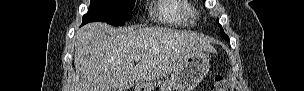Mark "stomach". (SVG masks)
<instances>
[{"mask_svg": "<svg viewBox=\"0 0 304 91\" xmlns=\"http://www.w3.org/2000/svg\"><path fill=\"white\" fill-rule=\"evenodd\" d=\"M210 56L206 51L191 54L183 65L162 85L144 86L142 91H193L208 74Z\"/></svg>", "mask_w": 304, "mask_h": 91, "instance_id": "obj_1", "label": "stomach"}]
</instances>
